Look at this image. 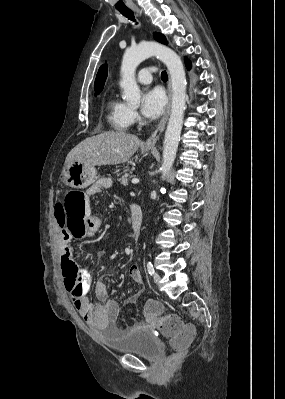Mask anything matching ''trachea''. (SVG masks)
Returning <instances> with one entry per match:
<instances>
[{
  "label": "trachea",
  "mask_w": 285,
  "mask_h": 399,
  "mask_svg": "<svg viewBox=\"0 0 285 399\" xmlns=\"http://www.w3.org/2000/svg\"><path fill=\"white\" fill-rule=\"evenodd\" d=\"M119 12H120L123 16H125L126 18H128L129 20L135 21L134 12H133L132 10H130V9H127V10H119ZM161 79L164 80V81H167L168 76H167L166 71H162V73H161Z\"/></svg>",
  "instance_id": "trachea-1"
}]
</instances>
